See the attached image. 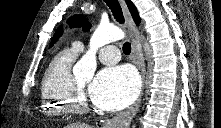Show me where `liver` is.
I'll use <instances>...</instances> for the list:
<instances>
[{
	"label": "liver",
	"instance_id": "6515ba94",
	"mask_svg": "<svg viewBox=\"0 0 221 128\" xmlns=\"http://www.w3.org/2000/svg\"><path fill=\"white\" fill-rule=\"evenodd\" d=\"M66 128H91V127L85 123H73L67 125Z\"/></svg>",
	"mask_w": 221,
	"mask_h": 128
}]
</instances>
